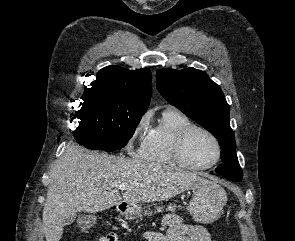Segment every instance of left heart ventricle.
<instances>
[{
	"mask_svg": "<svg viewBox=\"0 0 295 241\" xmlns=\"http://www.w3.org/2000/svg\"><path fill=\"white\" fill-rule=\"evenodd\" d=\"M217 149L213 140L202 131H193L183 146V156L193 165L204 166L214 161Z\"/></svg>",
	"mask_w": 295,
	"mask_h": 241,
	"instance_id": "left-heart-ventricle-1",
	"label": "left heart ventricle"
}]
</instances>
